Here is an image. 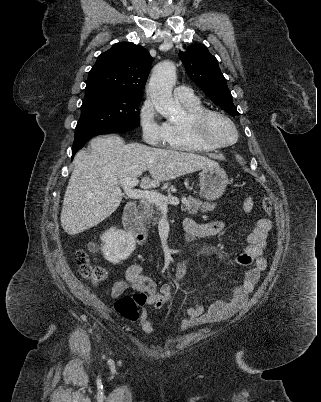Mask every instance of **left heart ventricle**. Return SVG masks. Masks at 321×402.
I'll return each instance as SVG.
<instances>
[{"instance_id": "b2bd125f", "label": "left heart ventricle", "mask_w": 321, "mask_h": 402, "mask_svg": "<svg viewBox=\"0 0 321 402\" xmlns=\"http://www.w3.org/2000/svg\"><path fill=\"white\" fill-rule=\"evenodd\" d=\"M208 135L222 143L230 142L234 139V132L231 126L219 117H211L206 125Z\"/></svg>"}]
</instances>
